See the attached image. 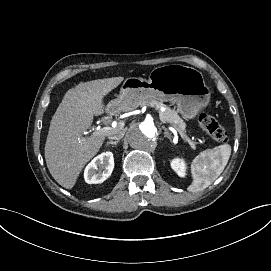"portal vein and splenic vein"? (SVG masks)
<instances>
[{"label": "portal vein and splenic vein", "instance_id": "1", "mask_svg": "<svg viewBox=\"0 0 271 271\" xmlns=\"http://www.w3.org/2000/svg\"><path fill=\"white\" fill-rule=\"evenodd\" d=\"M171 127L175 128V130H177L180 136H183V138H185V141L189 142L190 147H192L193 150H196V146L194 145L192 140L186 137V134H184L181 131V129H178V127L174 124H171ZM111 131H112V127H109V126H104V127L97 126L96 128H92V133L94 135H109ZM83 134H86V132H83Z\"/></svg>", "mask_w": 271, "mask_h": 271}]
</instances>
